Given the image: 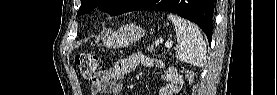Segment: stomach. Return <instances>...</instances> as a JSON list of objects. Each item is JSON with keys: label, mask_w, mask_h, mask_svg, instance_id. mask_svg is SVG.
<instances>
[{"label": "stomach", "mask_w": 277, "mask_h": 95, "mask_svg": "<svg viewBox=\"0 0 277 95\" xmlns=\"http://www.w3.org/2000/svg\"><path fill=\"white\" fill-rule=\"evenodd\" d=\"M144 35L145 31L141 27L135 24H127L112 32L103 44L111 48H124L139 41Z\"/></svg>", "instance_id": "stomach-1"}]
</instances>
